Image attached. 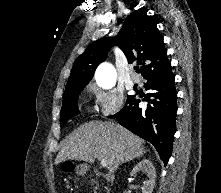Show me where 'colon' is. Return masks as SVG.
<instances>
[{
	"label": "colon",
	"mask_w": 221,
	"mask_h": 193,
	"mask_svg": "<svg viewBox=\"0 0 221 193\" xmlns=\"http://www.w3.org/2000/svg\"><path fill=\"white\" fill-rule=\"evenodd\" d=\"M66 169H67V170H71V169H72V166L69 165V166L66 167Z\"/></svg>",
	"instance_id": "colon-1"
}]
</instances>
